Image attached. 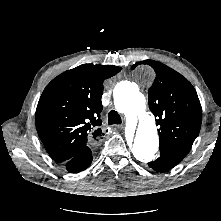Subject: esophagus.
Here are the masks:
<instances>
[{
    "label": "esophagus",
    "instance_id": "34e87169",
    "mask_svg": "<svg viewBox=\"0 0 221 221\" xmlns=\"http://www.w3.org/2000/svg\"><path fill=\"white\" fill-rule=\"evenodd\" d=\"M116 128L117 129H124V126L123 125H117Z\"/></svg>",
    "mask_w": 221,
    "mask_h": 221
}]
</instances>
